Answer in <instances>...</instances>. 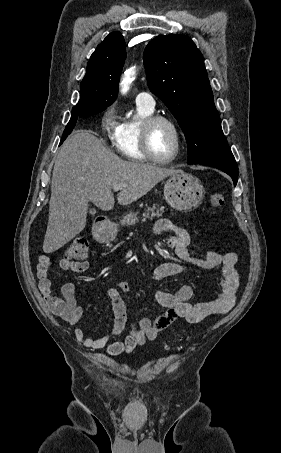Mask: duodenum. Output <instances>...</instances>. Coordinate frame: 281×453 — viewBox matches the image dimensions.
Wrapping results in <instances>:
<instances>
[{
  "label": "duodenum",
  "mask_w": 281,
  "mask_h": 453,
  "mask_svg": "<svg viewBox=\"0 0 281 453\" xmlns=\"http://www.w3.org/2000/svg\"><path fill=\"white\" fill-rule=\"evenodd\" d=\"M106 230H107V225L105 222L99 223L95 228L96 234L101 237L105 236Z\"/></svg>",
  "instance_id": "duodenum-1"
}]
</instances>
